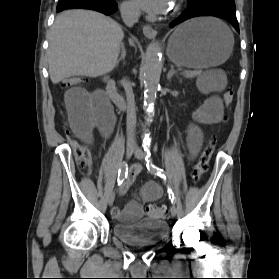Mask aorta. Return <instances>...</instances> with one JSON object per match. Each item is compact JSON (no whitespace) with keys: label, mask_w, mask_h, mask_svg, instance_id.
<instances>
[{"label":"aorta","mask_w":279,"mask_h":279,"mask_svg":"<svg viewBox=\"0 0 279 279\" xmlns=\"http://www.w3.org/2000/svg\"><path fill=\"white\" fill-rule=\"evenodd\" d=\"M162 48L159 43H154L146 52L143 66L144 73V97L149 106L153 105L156 98V91L159 87L160 76L162 72ZM152 115L148 113V121H151Z\"/></svg>","instance_id":"aorta-1"}]
</instances>
